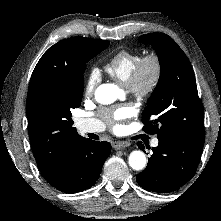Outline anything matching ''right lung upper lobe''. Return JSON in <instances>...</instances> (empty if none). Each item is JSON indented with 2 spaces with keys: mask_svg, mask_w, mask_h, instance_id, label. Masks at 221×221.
Wrapping results in <instances>:
<instances>
[{
  "mask_svg": "<svg viewBox=\"0 0 221 221\" xmlns=\"http://www.w3.org/2000/svg\"><path fill=\"white\" fill-rule=\"evenodd\" d=\"M84 40L72 37L50 47L38 61L30 79L26 101L29 138L37 166L45 178L56 173L64 153L83 137L72 126L73 122L38 117L36 103L48 83L63 70L75 67L77 51Z\"/></svg>",
  "mask_w": 221,
  "mask_h": 221,
  "instance_id": "cb5924a9",
  "label": "right lung upper lobe"
}]
</instances>
